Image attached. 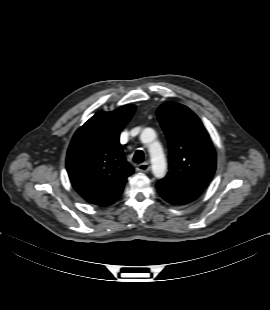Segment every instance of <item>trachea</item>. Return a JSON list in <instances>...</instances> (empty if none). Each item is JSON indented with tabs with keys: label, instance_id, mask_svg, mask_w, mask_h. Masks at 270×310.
<instances>
[{
	"label": "trachea",
	"instance_id": "3493384b",
	"mask_svg": "<svg viewBox=\"0 0 270 310\" xmlns=\"http://www.w3.org/2000/svg\"><path fill=\"white\" fill-rule=\"evenodd\" d=\"M133 161L135 163H142L144 161V153L142 150H137L135 153H134V156H133Z\"/></svg>",
	"mask_w": 270,
	"mask_h": 310
}]
</instances>
